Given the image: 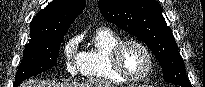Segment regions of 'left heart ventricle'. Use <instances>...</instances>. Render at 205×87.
Returning <instances> with one entry per match:
<instances>
[{
  "instance_id": "1",
  "label": "left heart ventricle",
  "mask_w": 205,
  "mask_h": 87,
  "mask_svg": "<svg viewBox=\"0 0 205 87\" xmlns=\"http://www.w3.org/2000/svg\"><path fill=\"white\" fill-rule=\"evenodd\" d=\"M121 63L126 72L132 76L143 75L149 65L148 57L138 46H127L121 56Z\"/></svg>"
}]
</instances>
